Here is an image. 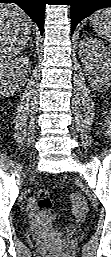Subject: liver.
<instances>
[{"label":"liver","instance_id":"1","mask_svg":"<svg viewBox=\"0 0 111 257\" xmlns=\"http://www.w3.org/2000/svg\"><path fill=\"white\" fill-rule=\"evenodd\" d=\"M31 20L17 5H0V65L4 67L26 46Z\"/></svg>","mask_w":111,"mask_h":257}]
</instances>
